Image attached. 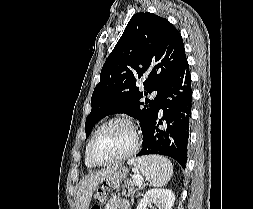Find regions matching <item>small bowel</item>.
<instances>
[{
  "mask_svg": "<svg viewBox=\"0 0 253 209\" xmlns=\"http://www.w3.org/2000/svg\"><path fill=\"white\" fill-rule=\"evenodd\" d=\"M103 209H129V204L127 201L114 196L107 201Z\"/></svg>",
  "mask_w": 253,
  "mask_h": 209,
  "instance_id": "c3829d8e",
  "label": "small bowel"
}]
</instances>
